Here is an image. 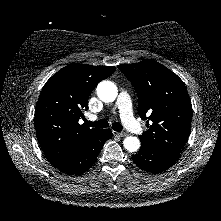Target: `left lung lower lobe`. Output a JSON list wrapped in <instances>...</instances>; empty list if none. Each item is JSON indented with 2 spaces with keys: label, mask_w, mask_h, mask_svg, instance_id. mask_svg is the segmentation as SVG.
<instances>
[{
  "label": "left lung lower lobe",
  "mask_w": 221,
  "mask_h": 221,
  "mask_svg": "<svg viewBox=\"0 0 221 221\" xmlns=\"http://www.w3.org/2000/svg\"><path fill=\"white\" fill-rule=\"evenodd\" d=\"M141 144V149L137 154L132 156V159L138 167L147 172H163L174 165L180 157V153L156 149L143 143Z\"/></svg>",
  "instance_id": "0a47b994"
}]
</instances>
